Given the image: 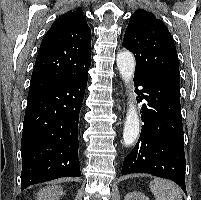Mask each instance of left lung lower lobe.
Instances as JSON below:
<instances>
[{
	"instance_id": "0a47b994",
	"label": "left lung lower lobe",
	"mask_w": 201,
	"mask_h": 200,
	"mask_svg": "<svg viewBox=\"0 0 201 200\" xmlns=\"http://www.w3.org/2000/svg\"><path fill=\"white\" fill-rule=\"evenodd\" d=\"M142 106L139 140L124 159L122 175L149 173L170 179L186 192V161L180 106V78L172 76L142 77L134 75Z\"/></svg>"
}]
</instances>
